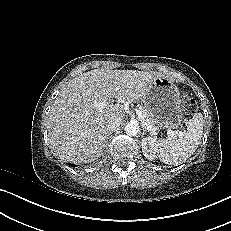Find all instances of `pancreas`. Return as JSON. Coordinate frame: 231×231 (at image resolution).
<instances>
[{
    "mask_svg": "<svg viewBox=\"0 0 231 231\" xmlns=\"http://www.w3.org/2000/svg\"><path fill=\"white\" fill-rule=\"evenodd\" d=\"M141 111H142L143 114L145 115V121H146L149 125L155 126V125L157 124V121L150 117V115H149L148 112L145 110V108H142Z\"/></svg>",
    "mask_w": 231,
    "mask_h": 231,
    "instance_id": "pancreas-1",
    "label": "pancreas"
}]
</instances>
